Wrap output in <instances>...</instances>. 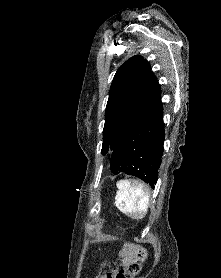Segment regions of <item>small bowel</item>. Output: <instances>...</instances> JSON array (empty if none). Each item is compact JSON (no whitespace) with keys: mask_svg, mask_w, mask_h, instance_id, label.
Here are the masks:
<instances>
[{"mask_svg":"<svg viewBox=\"0 0 221 278\" xmlns=\"http://www.w3.org/2000/svg\"><path fill=\"white\" fill-rule=\"evenodd\" d=\"M145 256L146 254L143 250L132 244H125L119 251L120 264L122 268H126L132 261L144 258ZM116 274L117 272L112 271L101 276L98 275L95 278H117Z\"/></svg>","mask_w":221,"mask_h":278,"instance_id":"obj_1","label":"small bowel"}]
</instances>
